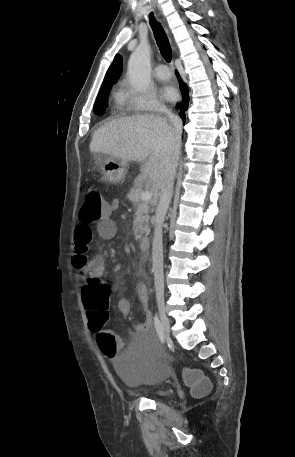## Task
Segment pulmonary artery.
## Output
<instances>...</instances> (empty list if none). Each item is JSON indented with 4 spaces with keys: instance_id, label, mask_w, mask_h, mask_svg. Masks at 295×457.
<instances>
[{
    "instance_id": "pulmonary-artery-1",
    "label": "pulmonary artery",
    "mask_w": 295,
    "mask_h": 457,
    "mask_svg": "<svg viewBox=\"0 0 295 457\" xmlns=\"http://www.w3.org/2000/svg\"><path fill=\"white\" fill-rule=\"evenodd\" d=\"M154 74L157 79L162 80V81L168 80L171 76L169 69L167 68L166 65H163V64H160L155 68Z\"/></svg>"
}]
</instances>
